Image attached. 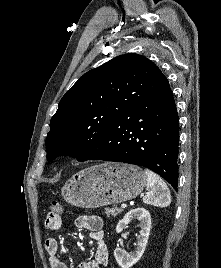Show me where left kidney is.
<instances>
[{"instance_id":"left-kidney-1","label":"left kidney","mask_w":221,"mask_h":268,"mask_svg":"<svg viewBox=\"0 0 221 268\" xmlns=\"http://www.w3.org/2000/svg\"><path fill=\"white\" fill-rule=\"evenodd\" d=\"M133 219H138L140 221L141 230L139 236L137 237L136 249L131 253H126L123 249L117 247L114 250V256L121 268H130L135 263H137L142 257L146 244L149 238L151 229V216L149 211L144 208H136L130 210L122 220L116 226V232L120 233L123 229L132 221Z\"/></svg>"}]
</instances>
